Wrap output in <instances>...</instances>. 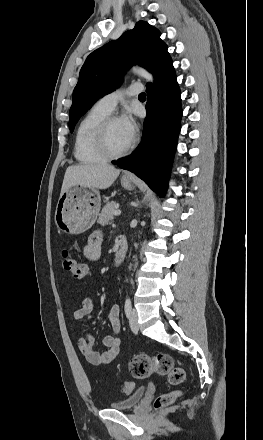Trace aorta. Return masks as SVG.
I'll return each mask as SVG.
<instances>
[{
    "label": "aorta",
    "instance_id": "aorta-1",
    "mask_svg": "<svg viewBox=\"0 0 263 440\" xmlns=\"http://www.w3.org/2000/svg\"><path fill=\"white\" fill-rule=\"evenodd\" d=\"M132 71H133V73L143 77L147 81L152 82V83L154 82V78H153L152 74L149 73L147 70H145L139 66H134V67H132Z\"/></svg>",
    "mask_w": 263,
    "mask_h": 440
}]
</instances>
